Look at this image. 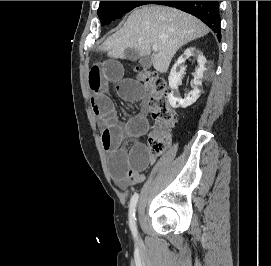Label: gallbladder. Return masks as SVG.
<instances>
[{
	"instance_id": "bac80fb5",
	"label": "gallbladder",
	"mask_w": 271,
	"mask_h": 266,
	"mask_svg": "<svg viewBox=\"0 0 271 266\" xmlns=\"http://www.w3.org/2000/svg\"><path fill=\"white\" fill-rule=\"evenodd\" d=\"M136 58H137V52L135 50L127 49L125 51V59L136 60ZM139 63L144 70H147L151 67V59L149 56L141 57L139 60Z\"/></svg>"
}]
</instances>
